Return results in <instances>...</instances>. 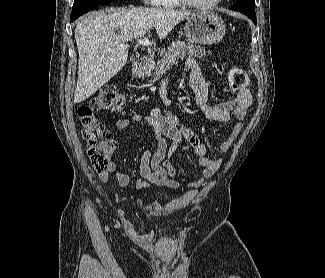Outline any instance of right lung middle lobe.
Wrapping results in <instances>:
<instances>
[{"instance_id":"obj_1","label":"right lung middle lobe","mask_w":325,"mask_h":278,"mask_svg":"<svg viewBox=\"0 0 325 278\" xmlns=\"http://www.w3.org/2000/svg\"><path fill=\"white\" fill-rule=\"evenodd\" d=\"M77 1V0H74V2ZM90 2H98L102 5L106 4V3H109V2H112V1H116V0H89Z\"/></svg>"}]
</instances>
